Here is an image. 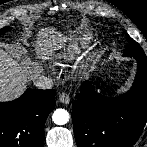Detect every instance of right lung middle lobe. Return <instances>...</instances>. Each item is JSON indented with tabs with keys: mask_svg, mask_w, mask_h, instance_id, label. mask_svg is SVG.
Here are the masks:
<instances>
[{
	"mask_svg": "<svg viewBox=\"0 0 147 147\" xmlns=\"http://www.w3.org/2000/svg\"><path fill=\"white\" fill-rule=\"evenodd\" d=\"M8 29H9L8 27H5V28L0 29V36L2 34H4Z\"/></svg>",
	"mask_w": 147,
	"mask_h": 147,
	"instance_id": "right-lung-middle-lobe-1",
	"label": "right lung middle lobe"
}]
</instances>
